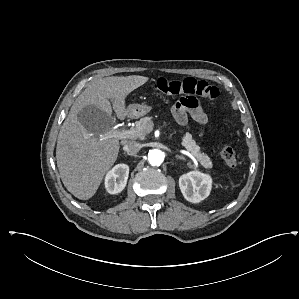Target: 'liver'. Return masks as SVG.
<instances>
[{
  "label": "liver",
  "mask_w": 299,
  "mask_h": 299,
  "mask_svg": "<svg viewBox=\"0 0 299 299\" xmlns=\"http://www.w3.org/2000/svg\"><path fill=\"white\" fill-rule=\"evenodd\" d=\"M148 79L139 75L96 79L73 103L58 135L56 160L64 186L76 198L94 196L117 160L119 139H100L115 124L109 99L117 117L125 119V98Z\"/></svg>",
  "instance_id": "1"
}]
</instances>
